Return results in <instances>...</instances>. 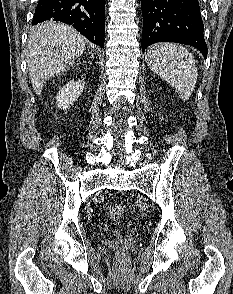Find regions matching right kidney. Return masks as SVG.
<instances>
[{"mask_svg":"<svg viewBox=\"0 0 233 294\" xmlns=\"http://www.w3.org/2000/svg\"><path fill=\"white\" fill-rule=\"evenodd\" d=\"M84 89L82 81H70L57 94V107L67 109L81 95Z\"/></svg>","mask_w":233,"mask_h":294,"instance_id":"obj_1","label":"right kidney"}]
</instances>
